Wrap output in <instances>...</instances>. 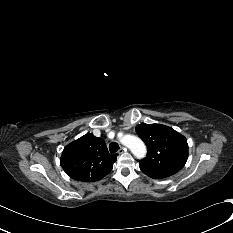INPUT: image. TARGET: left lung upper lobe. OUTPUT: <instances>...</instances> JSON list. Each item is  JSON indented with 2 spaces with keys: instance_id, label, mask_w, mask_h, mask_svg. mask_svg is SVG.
I'll use <instances>...</instances> for the list:
<instances>
[{
  "instance_id": "1",
  "label": "left lung upper lobe",
  "mask_w": 233,
  "mask_h": 233,
  "mask_svg": "<svg viewBox=\"0 0 233 233\" xmlns=\"http://www.w3.org/2000/svg\"><path fill=\"white\" fill-rule=\"evenodd\" d=\"M136 132L148 149L147 156L139 160L144 174L162 179L183 168L188 158V144L183 135L161 124H140Z\"/></svg>"
}]
</instances>
